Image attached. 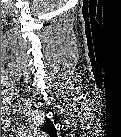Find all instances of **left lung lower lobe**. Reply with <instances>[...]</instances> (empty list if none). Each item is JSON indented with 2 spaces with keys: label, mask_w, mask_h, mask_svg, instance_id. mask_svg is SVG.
<instances>
[{
  "label": "left lung lower lobe",
  "mask_w": 121,
  "mask_h": 137,
  "mask_svg": "<svg viewBox=\"0 0 121 137\" xmlns=\"http://www.w3.org/2000/svg\"><path fill=\"white\" fill-rule=\"evenodd\" d=\"M56 131L54 130L50 135H55Z\"/></svg>",
  "instance_id": "0a47b994"
}]
</instances>
